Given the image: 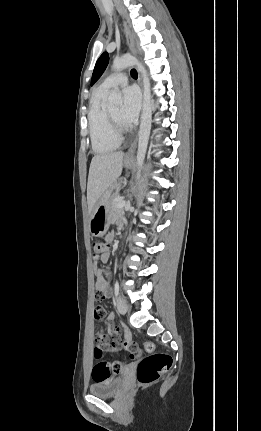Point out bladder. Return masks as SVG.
<instances>
[{"mask_svg":"<svg viewBox=\"0 0 261 431\" xmlns=\"http://www.w3.org/2000/svg\"><path fill=\"white\" fill-rule=\"evenodd\" d=\"M124 385V377L101 379L92 383L89 391L94 396L108 398L116 396L123 389Z\"/></svg>","mask_w":261,"mask_h":431,"instance_id":"obj_1","label":"bladder"}]
</instances>
